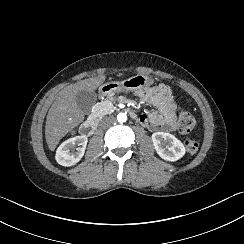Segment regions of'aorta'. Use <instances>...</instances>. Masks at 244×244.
Segmentation results:
<instances>
[{
	"label": "aorta",
	"instance_id": "obj_1",
	"mask_svg": "<svg viewBox=\"0 0 244 244\" xmlns=\"http://www.w3.org/2000/svg\"><path fill=\"white\" fill-rule=\"evenodd\" d=\"M117 120H118V122H121V123L126 122L127 115L125 113H119L117 115Z\"/></svg>",
	"mask_w": 244,
	"mask_h": 244
}]
</instances>
